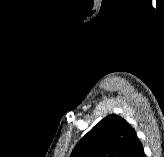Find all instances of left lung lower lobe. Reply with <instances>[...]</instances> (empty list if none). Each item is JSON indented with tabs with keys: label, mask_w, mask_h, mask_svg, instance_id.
Masks as SVG:
<instances>
[{
	"label": "left lung lower lobe",
	"mask_w": 164,
	"mask_h": 157,
	"mask_svg": "<svg viewBox=\"0 0 164 157\" xmlns=\"http://www.w3.org/2000/svg\"><path fill=\"white\" fill-rule=\"evenodd\" d=\"M123 157H145L143 146L137 135L133 138Z\"/></svg>",
	"instance_id": "1"
}]
</instances>
